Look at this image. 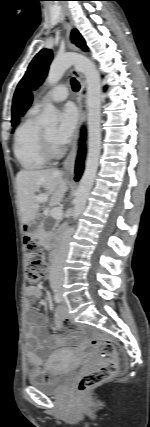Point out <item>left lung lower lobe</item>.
I'll return each instance as SVG.
<instances>
[{"instance_id": "obj_1", "label": "left lung lower lobe", "mask_w": 150, "mask_h": 427, "mask_svg": "<svg viewBox=\"0 0 150 427\" xmlns=\"http://www.w3.org/2000/svg\"><path fill=\"white\" fill-rule=\"evenodd\" d=\"M83 156H84V147H83V145H81V148L79 151V157H78L77 164H76V174H77L75 177L76 180L79 179V177L82 173V170H83V165H82Z\"/></svg>"}]
</instances>
